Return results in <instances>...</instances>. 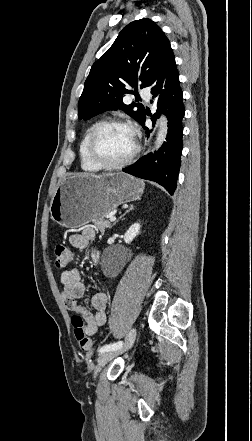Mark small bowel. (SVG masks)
<instances>
[{
  "label": "small bowel",
  "mask_w": 252,
  "mask_h": 441,
  "mask_svg": "<svg viewBox=\"0 0 252 441\" xmlns=\"http://www.w3.org/2000/svg\"><path fill=\"white\" fill-rule=\"evenodd\" d=\"M95 237L96 232L93 228H85L81 233L70 235L69 242L74 248L83 250L88 247ZM91 258L97 264L99 261L98 251H92ZM60 281L63 286L61 296L65 307L82 318L86 334H95L98 328L105 325L107 321L108 294L104 290L95 293L90 299L91 308H89L77 301L87 297L86 286L77 268L62 272Z\"/></svg>",
  "instance_id": "obj_1"
}]
</instances>
